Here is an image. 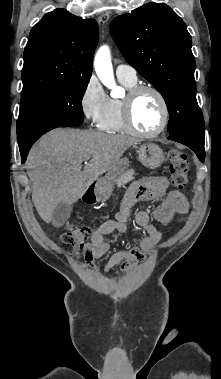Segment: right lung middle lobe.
I'll use <instances>...</instances> for the list:
<instances>
[{"label": "right lung middle lobe", "mask_w": 221, "mask_h": 379, "mask_svg": "<svg viewBox=\"0 0 221 379\" xmlns=\"http://www.w3.org/2000/svg\"><path fill=\"white\" fill-rule=\"evenodd\" d=\"M89 80L58 82L22 91L17 120L18 143L37 140L57 127L82 124V98Z\"/></svg>", "instance_id": "right-lung-middle-lobe-1"}]
</instances>
